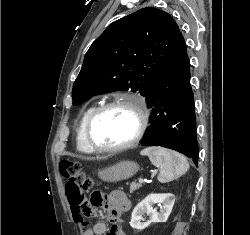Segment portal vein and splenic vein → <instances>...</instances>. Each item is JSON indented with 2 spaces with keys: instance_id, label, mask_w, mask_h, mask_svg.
<instances>
[{
  "instance_id": "1",
  "label": "portal vein and splenic vein",
  "mask_w": 250,
  "mask_h": 235,
  "mask_svg": "<svg viewBox=\"0 0 250 235\" xmlns=\"http://www.w3.org/2000/svg\"><path fill=\"white\" fill-rule=\"evenodd\" d=\"M144 181H146V180L143 179V178H139V179H138V182H139V183H143Z\"/></svg>"
}]
</instances>
